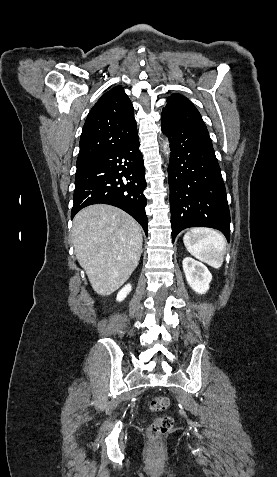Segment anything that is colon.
<instances>
[{"label": "colon", "mask_w": 277, "mask_h": 477, "mask_svg": "<svg viewBox=\"0 0 277 477\" xmlns=\"http://www.w3.org/2000/svg\"><path fill=\"white\" fill-rule=\"evenodd\" d=\"M169 405V399L165 396L153 397L149 403V409L153 412L165 410ZM173 420L171 417L164 416L156 418L148 428V436L153 441H159L171 428Z\"/></svg>", "instance_id": "5ec220e1"}]
</instances>
